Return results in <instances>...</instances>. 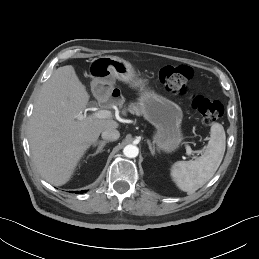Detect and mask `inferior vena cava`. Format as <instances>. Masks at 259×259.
I'll return each instance as SVG.
<instances>
[{
	"label": "inferior vena cava",
	"mask_w": 259,
	"mask_h": 259,
	"mask_svg": "<svg viewBox=\"0 0 259 259\" xmlns=\"http://www.w3.org/2000/svg\"><path fill=\"white\" fill-rule=\"evenodd\" d=\"M101 136L104 140L116 141L120 137V133L116 129H106Z\"/></svg>",
	"instance_id": "602c4592"
}]
</instances>
